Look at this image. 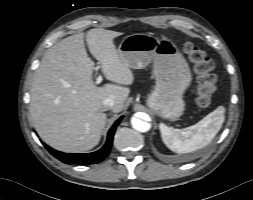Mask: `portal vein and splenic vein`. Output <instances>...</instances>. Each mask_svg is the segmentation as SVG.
<instances>
[{
	"label": "portal vein and splenic vein",
	"instance_id": "18ae733b",
	"mask_svg": "<svg viewBox=\"0 0 253 200\" xmlns=\"http://www.w3.org/2000/svg\"><path fill=\"white\" fill-rule=\"evenodd\" d=\"M102 81V76L99 75L98 78L96 79V84H99Z\"/></svg>",
	"mask_w": 253,
	"mask_h": 200
}]
</instances>
